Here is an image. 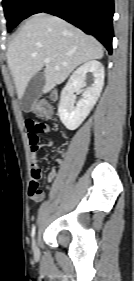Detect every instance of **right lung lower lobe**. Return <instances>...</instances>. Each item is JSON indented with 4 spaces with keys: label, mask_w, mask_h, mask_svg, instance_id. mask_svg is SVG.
Masks as SVG:
<instances>
[{
    "label": "right lung lower lobe",
    "mask_w": 134,
    "mask_h": 281,
    "mask_svg": "<svg viewBox=\"0 0 134 281\" xmlns=\"http://www.w3.org/2000/svg\"><path fill=\"white\" fill-rule=\"evenodd\" d=\"M45 12L95 36L112 53L113 0H36L28 15Z\"/></svg>",
    "instance_id": "obj_1"
}]
</instances>
